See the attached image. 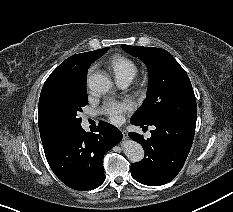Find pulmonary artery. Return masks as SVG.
Segmentation results:
<instances>
[{
    "label": "pulmonary artery",
    "instance_id": "1",
    "mask_svg": "<svg viewBox=\"0 0 233 212\" xmlns=\"http://www.w3.org/2000/svg\"><path fill=\"white\" fill-rule=\"evenodd\" d=\"M129 80H118L117 83L120 87L125 88L130 84Z\"/></svg>",
    "mask_w": 233,
    "mask_h": 212
}]
</instances>
